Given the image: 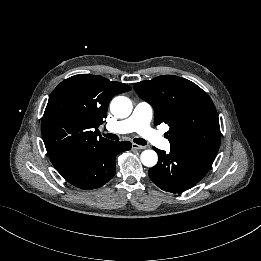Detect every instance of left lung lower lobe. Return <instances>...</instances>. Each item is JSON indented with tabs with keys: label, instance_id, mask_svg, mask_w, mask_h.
Returning a JSON list of instances; mask_svg holds the SVG:
<instances>
[{
	"label": "left lung lower lobe",
	"instance_id": "1",
	"mask_svg": "<svg viewBox=\"0 0 261 261\" xmlns=\"http://www.w3.org/2000/svg\"><path fill=\"white\" fill-rule=\"evenodd\" d=\"M158 163L149 169L150 179L162 190L180 193L197 184L210 169L214 158L196 151L154 148Z\"/></svg>",
	"mask_w": 261,
	"mask_h": 261
}]
</instances>
